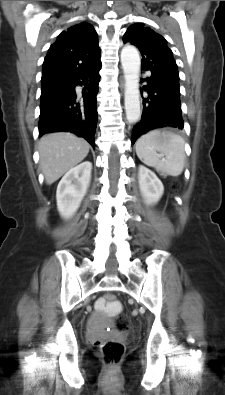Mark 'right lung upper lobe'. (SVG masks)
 <instances>
[{
  "mask_svg": "<svg viewBox=\"0 0 225 395\" xmlns=\"http://www.w3.org/2000/svg\"><path fill=\"white\" fill-rule=\"evenodd\" d=\"M101 51L92 25L82 22L63 31L53 43L43 62L42 87L69 74L93 67Z\"/></svg>",
  "mask_w": 225,
  "mask_h": 395,
  "instance_id": "1",
  "label": "right lung upper lobe"
}]
</instances>
